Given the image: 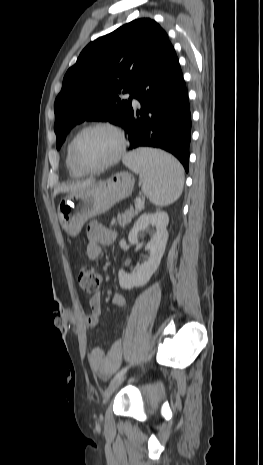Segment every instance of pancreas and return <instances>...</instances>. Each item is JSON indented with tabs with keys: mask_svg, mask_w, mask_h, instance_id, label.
<instances>
[{
	"mask_svg": "<svg viewBox=\"0 0 263 465\" xmlns=\"http://www.w3.org/2000/svg\"><path fill=\"white\" fill-rule=\"evenodd\" d=\"M144 208H130L129 210H126L122 214H118L117 218H113L111 221V225H116L119 224L121 227H125V225L129 224L136 215H138L141 210Z\"/></svg>",
	"mask_w": 263,
	"mask_h": 465,
	"instance_id": "1",
	"label": "pancreas"
}]
</instances>
